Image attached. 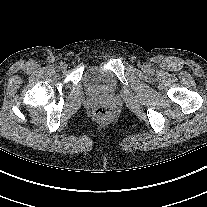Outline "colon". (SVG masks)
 <instances>
[{"mask_svg": "<svg viewBox=\"0 0 207 207\" xmlns=\"http://www.w3.org/2000/svg\"><path fill=\"white\" fill-rule=\"evenodd\" d=\"M95 114L104 119H109L113 116V110L107 107H99L95 110Z\"/></svg>", "mask_w": 207, "mask_h": 207, "instance_id": "1", "label": "colon"}]
</instances>
